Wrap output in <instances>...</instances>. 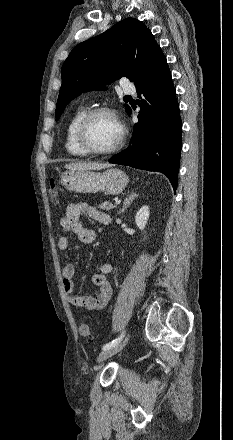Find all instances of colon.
Returning a JSON list of instances; mask_svg holds the SVG:
<instances>
[{"mask_svg": "<svg viewBox=\"0 0 233 440\" xmlns=\"http://www.w3.org/2000/svg\"><path fill=\"white\" fill-rule=\"evenodd\" d=\"M49 195L53 203L59 202V195L56 188L55 180L54 178L50 179V185H49ZM80 335L84 337L85 339L89 341H93V336L90 332V327L87 323H81L79 327Z\"/></svg>", "mask_w": 233, "mask_h": 440, "instance_id": "1", "label": "colon"}]
</instances>
